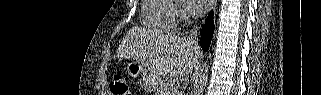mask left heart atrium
Returning a JSON list of instances; mask_svg holds the SVG:
<instances>
[{
  "label": "left heart atrium",
  "instance_id": "39dd6f15",
  "mask_svg": "<svg viewBox=\"0 0 321 95\" xmlns=\"http://www.w3.org/2000/svg\"><path fill=\"white\" fill-rule=\"evenodd\" d=\"M189 3H191V10L196 14H200L209 9L211 1L210 0H189Z\"/></svg>",
  "mask_w": 321,
  "mask_h": 95
}]
</instances>
